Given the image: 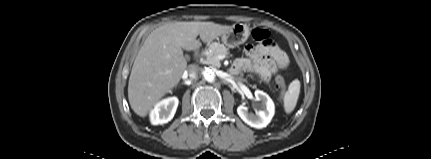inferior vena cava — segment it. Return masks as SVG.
Instances as JSON below:
<instances>
[{
	"instance_id": "obj_1",
	"label": "inferior vena cava",
	"mask_w": 431,
	"mask_h": 159,
	"mask_svg": "<svg viewBox=\"0 0 431 159\" xmlns=\"http://www.w3.org/2000/svg\"><path fill=\"white\" fill-rule=\"evenodd\" d=\"M198 66L190 65L187 69V73L190 79H196L198 77Z\"/></svg>"
}]
</instances>
